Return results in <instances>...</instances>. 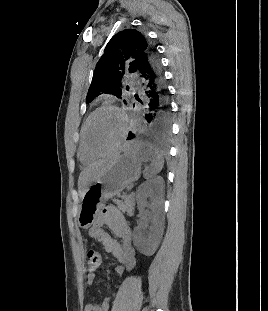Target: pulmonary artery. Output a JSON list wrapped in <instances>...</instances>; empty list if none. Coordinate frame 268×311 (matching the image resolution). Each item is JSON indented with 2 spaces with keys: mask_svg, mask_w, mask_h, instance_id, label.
<instances>
[{
  "mask_svg": "<svg viewBox=\"0 0 268 311\" xmlns=\"http://www.w3.org/2000/svg\"><path fill=\"white\" fill-rule=\"evenodd\" d=\"M132 82L135 83V80L132 78Z\"/></svg>",
  "mask_w": 268,
  "mask_h": 311,
  "instance_id": "e3ab8cb5",
  "label": "pulmonary artery"
}]
</instances>
